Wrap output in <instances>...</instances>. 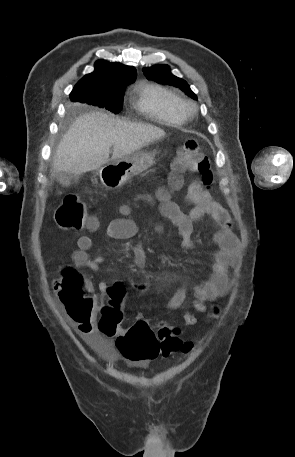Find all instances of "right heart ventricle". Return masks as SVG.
<instances>
[{
  "mask_svg": "<svg viewBox=\"0 0 295 457\" xmlns=\"http://www.w3.org/2000/svg\"><path fill=\"white\" fill-rule=\"evenodd\" d=\"M179 97L156 83H141L132 91V104L144 116L167 124H181L184 117L177 108Z\"/></svg>",
  "mask_w": 295,
  "mask_h": 457,
  "instance_id": "e07e8e85",
  "label": "right heart ventricle"
}]
</instances>
